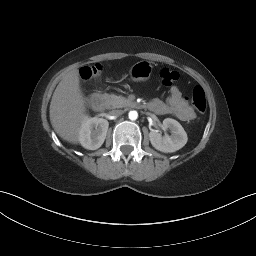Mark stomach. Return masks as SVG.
<instances>
[{"mask_svg": "<svg viewBox=\"0 0 256 256\" xmlns=\"http://www.w3.org/2000/svg\"><path fill=\"white\" fill-rule=\"evenodd\" d=\"M130 77L134 82L146 81L152 74V65L148 61H140L130 68Z\"/></svg>", "mask_w": 256, "mask_h": 256, "instance_id": "1", "label": "stomach"}]
</instances>
